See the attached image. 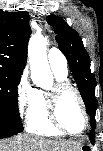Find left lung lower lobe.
Instances as JSON below:
<instances>
[{
    "instance_id": "obj_1",
    "label": "left lung lower lobe",
    "mask_w": 103,
    "mask_h": 151,
    "mask_svg": "<svg viewBox=\"0 0 103 151\" xmlns=\"http://www.w3.org/2000/svg\"><path fill=\"white\" fill-rule=\"evenodd\" d=\"M90 116H91V118H90L91 127H92V128H95V127H96L95 114L90 115ZM90 135H91V142L93 143V142H94L95 132H94V131H91Z\"/></svg>"
}]
</instances>
